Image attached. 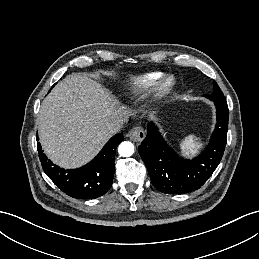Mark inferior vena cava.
I'll list each match as a JSON object with an SVG mask.
<instances>
[{
	"mask_svg": "<svg viewBox=\"0 0 259 259\" xmlns=\"http://www.w3.org/2000/svg\"><path fill=\"white\" fill-rule=\"evenodd\" d=\"M124 123L125 121L123 118H117L109 124L108 129L112 133H117L122 129Z\"/></svg>",
	"mask_w": 259,
	"mask_h": 259,
	"instance_id": "1",
	"label": "inferior vena cava"
}]
</instances>
